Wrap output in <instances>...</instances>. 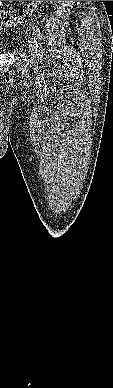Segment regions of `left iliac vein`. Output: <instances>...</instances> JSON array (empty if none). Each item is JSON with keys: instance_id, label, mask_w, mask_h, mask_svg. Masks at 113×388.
<instances>
[{"instance_id": "left-iliac-vein-1", "label": "left iliac vein", "mask_w": 113, "mask_h": 388, "mask_svg": "<svg viewBox=\"0 0 113 388\" xmlns=\"http://www.w3.org/2000/svg\"><path fill=\"white\" fill-rule=\"evenodd\" d=\"M28 47H29V53H30V55H31L32 57H36L37 50H36L35 42H34L33 40H30V41H29Z\"/></svg>"}]
</instances>
